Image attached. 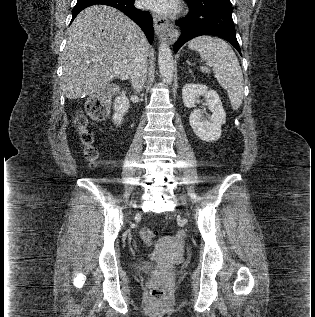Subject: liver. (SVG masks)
<instances>
[{"instance_id":"6515ba94","label":"liver","mask_w":315,"mask_h":317,"mask_svg":"<svg viewBox=\"0 0 315 317\" xmlns=\"http://www.w3.org/2000/svg\"><path fill=\"white\" fill-rule=\"evenodd\" d=\"M66 34L62 87L68 99L91 96L114 77L128 79L137 48L146 39L126 15L104 5L84 9ZM147 52L153 53L149 45Z\"/></svg>"}]
</instances>
